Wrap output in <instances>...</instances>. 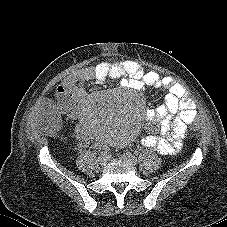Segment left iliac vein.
Returning <instances> with one entry per match:
<instances>
[{"label":"left iliac vein","mask_w":227,"mask_h":227,"mask_svg":"<svg viewBox=\"0 0 227 227\" xmlns=\"http://www.w3.org/2000/svg\"><path fill=\"white\" fill-rule=\"evenodd\" d=\"M120 159L130 163L131 165H136L138 163L137 158L133 156L131 153L120 155Z\"/></svg>","instance_id":"left-iliac-vein-1"}]
</instances>
